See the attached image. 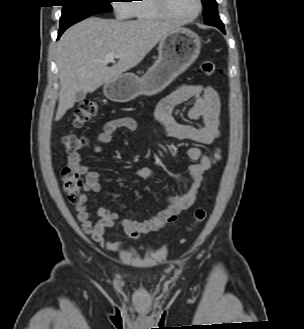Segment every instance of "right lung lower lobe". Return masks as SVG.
<instances>
[{"instance_id":"1","label":"right lung lower lobe","mask_w":304,"mask_h":329,"mask_svg":"<svg viewBox=\"0 0 304 329\" xmlns=\"http://www.w3.org/2000/svg\"><path fill=\"white\" fill-rule=\"evenodd\" d=\"M64 31H65V30H59L58 38L61 36V34H62Z\"/></svg>"}]
</instances>
